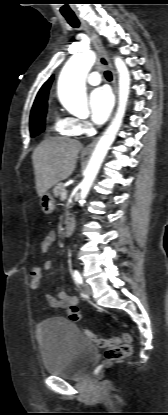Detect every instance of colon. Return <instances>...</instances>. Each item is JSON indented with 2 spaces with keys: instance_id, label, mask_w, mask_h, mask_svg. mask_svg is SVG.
<instances>
[{
  "instance_id": "obj_1",
  "label": "colon",
  "mask_w": 168,
  "mask_h": 415,
  "mask_svg": "<svg viewBox=\"0 0 168 415\" xmlns=\"http://www.w3.org/2000/svg\"><path fill=\"white\" fill-rule=\"evenodd\" d=\"M28 276L30 277L29 287L33 294H38L40 292L41 283L44 281V276L42 275L41 264L39 262H34L28 269ZM86 336L94 342L100 348H104V364H109L115 361H119L130 354L131 346L130 336L125 335L124 339L126 343H122V339L119 336H112L110 338L98 337L89 330L85 331ZM102 368V365L96 368V373H98Z\"/></svg>"
}]
</instances>
